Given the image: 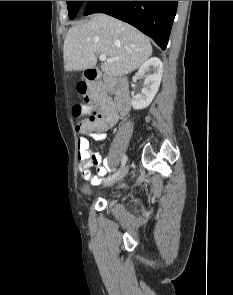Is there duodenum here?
Returning <instances> with one entry per match:
<instances>
[{
	"instance_id": "duodenum-1",
	"label": "duodenum",
	"mask_w": 233,
	"mask_h": 295,
	"mask_svg": "<svg viewBox=\"0 0 233 295\" xmlns=\"http://www.w3.org/2000/svg\"><path fill=\"white\" fill-rule=\"evenodd\" d=\"M87 79L89 81H95L97 77H100L99 72L95 68H90L87 71ZM117 109L120 113H127L130 109V98L126 90H120L116 97Z\"/></svg>"
}]
</instances>
